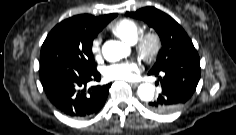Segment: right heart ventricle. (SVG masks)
<instances>
[{"label":"right heart ventricle","instance_id":"right-heart-ventricle-1","mask_svg":"<svg viewBox=\"0 0 236 135\" xmlns=\"http://www.w3.org/2000/svg\"><path fill=\"white\" fill-rule=\"evenodd\" d=\"M109 30L124 42L134 44L141 33V26L133 19L123 18L112 24Z\"/></svg>","mask_w":236,"mask_h":135}]
</instances>
